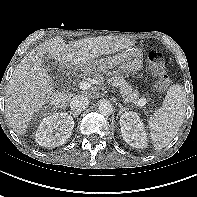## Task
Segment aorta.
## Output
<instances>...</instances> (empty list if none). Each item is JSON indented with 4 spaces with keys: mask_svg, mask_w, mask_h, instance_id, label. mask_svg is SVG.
I'll list each match as a JSON object with an SVG mask.
<instances>
[{
    "mask_svg": "<svg viewBox=\"0 0 197 197\" xmlns=\"http://www.w3.org/2000/svg\"><path fill=\"white\" fill-rule=\"evenodd\" d=\"M98 110L100 114L104 116H109L113 112V106L109 101L103 100L99 103Z\"/></svg>",
    "mask_w": 197,
    "mask_h": 197,
    "instance_id": "1",
    "label": "aorta"
}]
</instances>
